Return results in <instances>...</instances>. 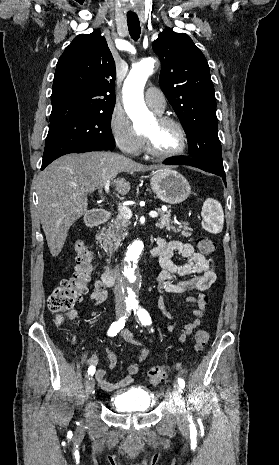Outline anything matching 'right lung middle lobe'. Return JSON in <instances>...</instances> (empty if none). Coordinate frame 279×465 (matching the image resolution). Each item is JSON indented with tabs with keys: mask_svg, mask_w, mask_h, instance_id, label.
<instances>
[{
	"mask_svg": "<svg viewBox=\"0 0 279 465\" xmlns=\"http://www.w3.org/2000/svg\"><path fill=\"white\" fill-rule=\"evenodd\" d=\"M112 112L113 108H109L50 124L42 164L87 146L113 147Z\"/></svg>",
	"mask_w": 279,
	"mask_h": 465,
	"instance_id": "1",
	"label": "right lung middle lobe"
}]
</instances>
